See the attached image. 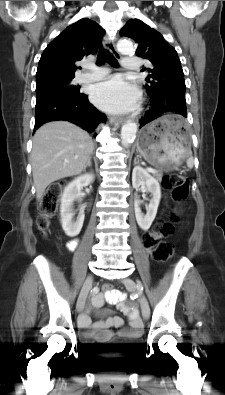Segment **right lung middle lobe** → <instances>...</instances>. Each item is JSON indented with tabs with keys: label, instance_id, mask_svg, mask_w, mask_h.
Segmentation results:
<instances>
[{
	"label": "right lung middle lobe",
	"instance_id": "obj_1",
	"mask_svg": "<svg viewBox=\"0 0 225 395\" xmlns=\"http://www.w3.org/2000/svg\"><path fill=\"white\" fill-rule=\"evenodd\" d=\"M72 79L36 86V106L61 94H80L79 86L72 84Z\"/></svg>",
	"mask_w": 225,
	"mask_h": 395
}]
</instances>
